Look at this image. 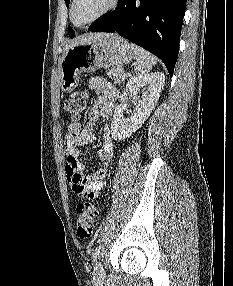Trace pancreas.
<instances>
[{"label": "pancreas", "mask_w": 233, "mask_h": 286, "mask_svg": "<svg viewBox=\"0 0 233 286\" xmlns=\"http://www.w3.org/2000/svg\"><path fill=\"white\" fill-rule=\"evenodd\" d=\"M106 74L115 81L122 83L126 79L125 71L122 67H112L106 71Z\"/></svg>", "instance_id": "obj_1"}]
</instances>
